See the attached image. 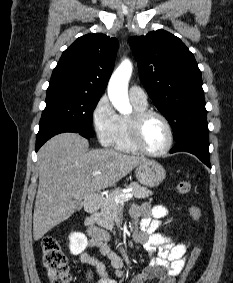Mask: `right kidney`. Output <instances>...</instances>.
Masks as SVG:
<instances>
[{
  "label": "right kidney",
  "mask_w": 233,
  "mask_h": 283,
  "mask_svg": "<svg viewBox=\"0 0 233 283\" xmlns=\"http://www.w3.org/2000/svg\"><path fill=\"white\" fill-rule=\"evenodd\" d=\"M69 240L70 252L73 255H78L83 252L88 244L87 237L83 233L74 232L69 236Z\"/></svg>",
  "instance_id": "obj_1"
}]
</instances>
